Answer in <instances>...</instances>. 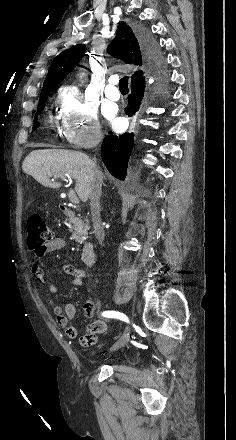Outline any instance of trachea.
<instances>
[{
	"mask_svg": "<svg viewBox=\"0 0 236 440\" xmlns=\"http://www.w3.org/2000/svg\"><path fill=\"white\" fill-rule=\"evenodd\" d=\"M119 90L120 91H128V76H124L119 81Z\"/></svg>",
	"mask_w": 236,
	"mask_h": 440,
	"instance_id": "1",
	"label": "trachea"
}]
</instances>
